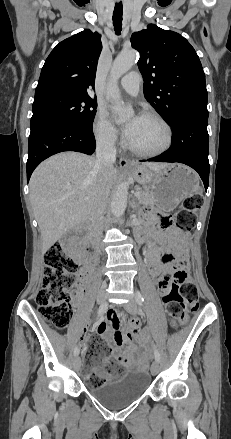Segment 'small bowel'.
I'll use <instances>...</instances> for the list:
<instances>
[{
    "label": "small bowel",
    "instance_id": "1",
    "mask_svg": "<svg viewBox=\"0 0 231 439\" xmlns=\"http://www.w3.org/2000/svg\"><path fill=\"white\" fill-rule=\"evenodd\" d=\"M152 234L157 239V243H151L147 247L146 255L150 263L151 273L155 278L158 289L161 293L167 289L169 285V275L171 274L173 267L171 264H163V259L168 260L171 256V245H164L165 239L164 233H154L151 229H146L141 233H138L139 238ZM172 238L183 243V237L176 231L172 233ZM81 287H78V291ZM132 325H138V321L135 320ZM98 333L113 347V357L118 359L129 370L135 369L141 366L139 362L134 361L135 355L138 354V347L143 350L147 349L148 339L145 335H137L136 332L125 331L120 329L118 317L116 312L112 309L109 313V324L100 323L97 327ZM127 343V348H123ZM86 346H84L85 349ZM109 360H105L102 367L94 370L97 374L107 375L104 369V365Z\"/></svg>",
    "mask_w": 231,
    "mask_h": 439
}]
</instances>
